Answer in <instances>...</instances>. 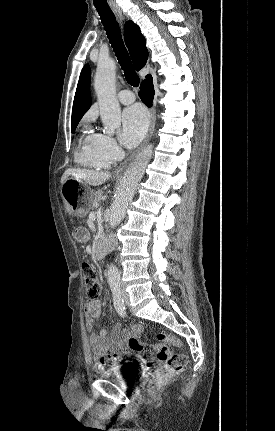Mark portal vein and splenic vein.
<instances>
[{
  "label": "portal vein and splenic vein",
  "mask_w": 275,
  "mask_h": 431,
  "mask_svg": "<svg viewBox=\"0 0 275 431\" xmlns=\"http://www.w3.org/2000/svg\"><path fill=\"white\" fill-rule=\"evenodd\" d=\"M95 218H96V213H95V212H91V213L89 214V219H90V220H95Z\"/></svg>",
  "instance_id": "portal-vein-and-splenic-vein-1"
}]
</instances>
